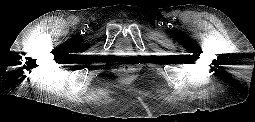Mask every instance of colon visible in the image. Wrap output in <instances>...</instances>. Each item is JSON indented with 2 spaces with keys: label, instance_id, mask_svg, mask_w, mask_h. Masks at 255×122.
Instances as JSON below:
<instances>
[{
  "label": "colon",
  "instance_id": "obj_1",
  "mask_svg": "<svg viewBox=\"0 0 255 122\" xmlns=\"http://www.w3.org/2000/svg\"><path fill=\"white\" fill-rule=\"evenodd\" d=\"M120 71L124 74H127L131 71V68L127 65H124V66L121 67Z\"/></svg>",
  "mask_w": 255,
  "mask_h": 122
}]
</instances>
